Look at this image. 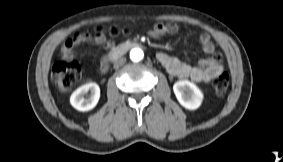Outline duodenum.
Segmentation results:
<instances>
[{
    "mask_svg": "<svg viewBox=\"0 0 283 162\" xmlns=\"http://www.w3.org/2000/svg\"><path fill=\"white\" fill-rule=\"evenodd\" d=\"M135 47H139V44L136 42H131V41L124 42V43L117 45V49L114 52H109L108 56H110L112 59L111 61H113L121 57L122 55H124L130 49L135 48Z\"/></svg>",
    "mask_w": 283,
    "mask_h": 162,
    "instance_id": "1",
    "label": "duodenum"
}]
</instances>
